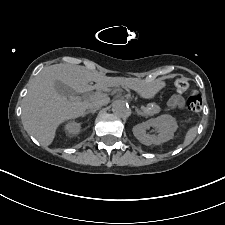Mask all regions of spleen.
<instances>
[{"mask_svg":"<svg viewBox=\"0 0 225 225\" xmlns=\"http://www.w3.org/2000/svg\"><path fill=\"white\" fill-rule=\"evenodd\" d=\"M196 134H197V126H193L189 128L185 134L182 146L183 147L188 146L194 140V138L196 137Z\"/></svg>","mask_w":225,"mask_h":225,"instance_id":"3e777b00","label":"spleen"}]
</instances>
